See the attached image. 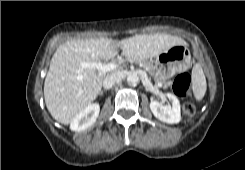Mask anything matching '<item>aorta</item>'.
<instances>
[{"mask_svg": "<svg viewBox=\"0 0 245 170\" xmlns=\"http://www.w3.org/2000/svg\"><path fill=\"white\" fill-rule=\"evenodd\" d=\"M127 82L129 84H136L139 82V76L136 74V73H130L128 76H127Z\"/></svg>", "mask_w": 245, "mask_h": 170, "instance_id": "762f6f07", "label": "aorta"}]
</instances>
